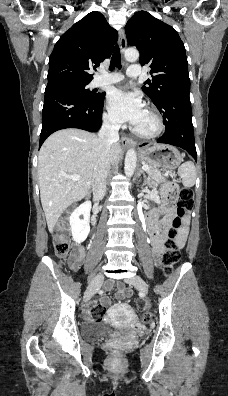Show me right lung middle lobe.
<instances>
[{"label":"right lung middle lobe","instance_id":"right-lung-middle-lobe-1","mask_svg":"<svg viewBox=\"0 0 228 396\" xmlns=\"http://www.w3.org/2000/svg\"><path fill=\"white\" fill-rule=\"evenodd\" d=\"M89 82H65V83H61V84H57L55 86L46 88V90H50V89H62V90H68L71 91L79 96H81L83 99L88 100V101H92L95 100L99 97H101V93H95V91H90L89 89H87V85Z\"/></svg>","mask_w":228,"mask_h":396}]
</instances>
